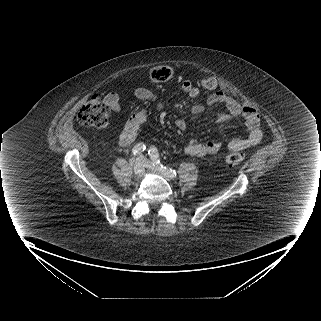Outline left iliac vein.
Here are the masks:
<instances>
[{
	"label": "left iliac vein",
	"instance_id": "1",
	"mask_svg": "<svg viewBox=\"0 0 321 321\" xmlns=\"http://www.w3.org/2000/svg\"><path fill=\"white\" fill-rule=\"evenodd\" d=\"M141 160L144 163V166L146 169L150 170L151 172L158 174L160 176H166L165 173L158 168H156L150 161L146 160L143 156L141 157Z\"/></svg>",
	"mask_w": 321,
	"mask_h": 321
}]
</instances>
